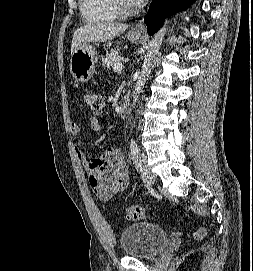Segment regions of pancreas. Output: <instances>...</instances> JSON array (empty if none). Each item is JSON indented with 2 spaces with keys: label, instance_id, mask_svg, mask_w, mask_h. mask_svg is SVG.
I'll list each match as a JSON object with an SVG mask.
<instances>
[{
  "label": "pancreas",
  "instance_id": "cf45deb5",
  "mask_svg": "<svg viewBox=\"0 0 253 271\" xmlns=\"http://www.w3.org/2000/svg\"><path fill=\"white\" fill-rule=\"evenodd\" d=\"M103 65L107 68L114 69L115 65L121 63V53L119 49L113 50L105 58L102 59Z\"/></svg>",
  "mask_w": 253,
  "mask_h": 271
}]
</instances>
